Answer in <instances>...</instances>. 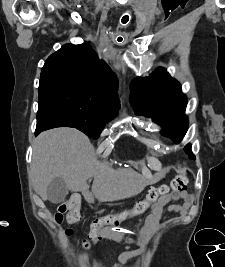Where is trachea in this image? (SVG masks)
<instances>
[{"label": "trachea", "mask_w": 225, "mask_h": 267, "mask_svg": "<svg viewBox=\"0 0 225 267\" xmlns=\"http://www.w3.org/2000/svg\"><path fill=\"white\" fill-rule=\"evenodd\" d=\"M128 21H129V16H128V15H124V16L122 17V19H121V22H122L123 24H126Z\"/></svg>", "instance_id": "1"}]
</instances>
